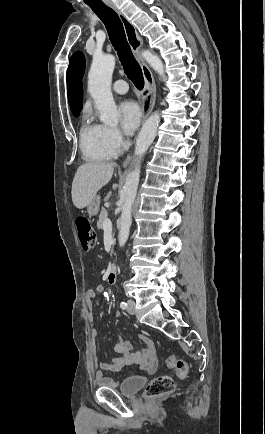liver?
<instances>
[{
	"mask_svg": "<svg viewBox=\"0 0 265 434\" xmlns=\"http://www.w3.org/2000/svg\"><path fill=\"white\" fill-rule=\"evenodd\" d=\"M115 162L101 164V162H89L79 166L72 184V202L76 208L82 210L90 204L98 190L110 182Z\"/></svg>",
	"mask_w": 265,
	"mask_h": 434,
	"instance_id": "6515ba94",
	"label": "liver"
}]
</instances>
